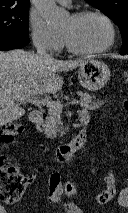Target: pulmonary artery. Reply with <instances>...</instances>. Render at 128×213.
Masks as SVG:
<instances>
[{"mask_svg": "<svg viewBox=\"0 0 128 213\" xmlns=\"http://www.w3.org/2000/svg\"><path fill=\"white\" fill-rule=\"evenodd\" d=\"M58 1L59 3L63 4V5H70L71 3V0H56Z\"/></svg>", "mask_w": 128, "mask_h": 213, "instance_id": "e3ab8cb5", "label": "pulmonary artery"}]
</instances>
